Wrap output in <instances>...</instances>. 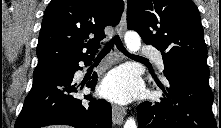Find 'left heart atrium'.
Instances as JSON below:
<instances>
[{
	"instance_id": "39dd6f15",
	"label": "left heart atrium",
	"mask_w": 221,
	"mask_h": 128,
	"mask_svg": "<svg viewBox=\"0 0 221 128\" xmlns=\"http://www.w3.org/2000/svg\"><path fill=\"white\" fill-rule=\"evenodd\" d=\"M139 88V83L130 71L119 68L113 70L100 86V93L117 103L125 104L133 99Z\"/></svg>"
}]
</instances>
